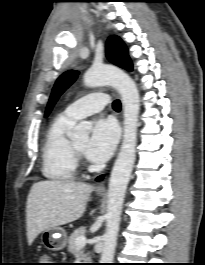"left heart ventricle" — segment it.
<instances>
[{
  "label": "left heart ventricle",
  "mask_w": 205,
  "mask_h": 265,
  "mask_svg": "<svg viewBox=\"0 0 205 265\" xmlns=\"http://www.w3.org/2000/svg\"><path fill=\"white\" fill-rule=\"evenodd\" d=\"M74 144L81 150H83L87 144V139H81L74 142Z\"/></svg>",
  "instance_id": "left-heart-ventricle-1"
}]
</instances>
